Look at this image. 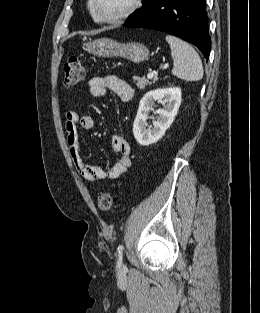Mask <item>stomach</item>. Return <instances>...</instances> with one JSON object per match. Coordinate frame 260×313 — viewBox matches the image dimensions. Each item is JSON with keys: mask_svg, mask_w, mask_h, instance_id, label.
Returning a JSON list of instances; mask_svg holds the SVG:
<instances>
[{"mask_svg": "<svg viewBox=\"0 0 260 313\" xmlns=\"http://www.w3.org/2000/svg\"><path fill=\"white\" fill-rule=\"evenodd\" d=\"M84 49L99 57H123L134 63H140L149 58V50L140 43L121 44L109 38H100L88 41Z\"/></svg>", "mask_w": 260, "mask_h": 313, "instance_id": "1", "label": "stomach"}]
</instances>
